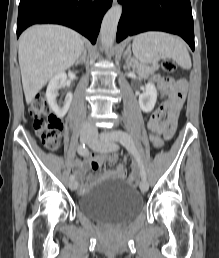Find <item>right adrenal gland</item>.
<instances>
[{
    "label": "right adrenal gland",
    "mask_w": 219,
    "mask_h": 258,
    "mask_svg": "<svg viewBox=\"0 0 219 258\" xmlns=\"http://www.w3.org/2000/svg\"><path fill=\"white\" fill-rule=\"evenodd\" d=\"M86 56H87V50H86V48H84L82 55H81L80 58L75 62V64L78 65V64L85 63V61H86Z\"/></svg>",
    "instance_id": "obj_1"
}]
</instances>
